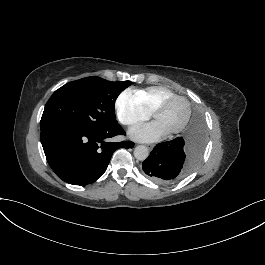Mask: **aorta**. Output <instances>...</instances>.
Segmentation results:
<instances>
[{"instance_id":"aorta-1","label":"aorta","mask_w":265,"mask_h":265,"mask_svg":"<svg viewBox=\"0 0 265 265\" xmlns=\"http://www.w3.org/2000/svg\"><path fill=\"white\" fill-rule=\"evenodd\" d=\"M148 155H149V150L146 146L139 145V146L135 147L134 156L137 160L143 161V160L147 159Z\"/></svg>"}]
</instances>
